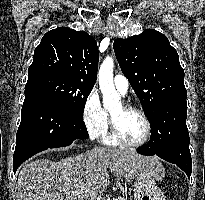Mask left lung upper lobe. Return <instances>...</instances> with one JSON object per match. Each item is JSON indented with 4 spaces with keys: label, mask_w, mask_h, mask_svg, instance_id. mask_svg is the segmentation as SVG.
Instances as JSON below:
<instances>
[{
    "label": "left lung upper lobe",
    "mask_w": 205,
    "mask_h": 200,
    "mask_svg": "<svg viewBox=\"0 0 205 200\" xmlns=\"http://www.w3.org/2000/svg\"><path fill=\"white\" fill-rule=\"evenodd\" d=\"M114 52L150 123L166 102L186 98L184 70L168 38L153 29L116 39Z\"/></svg>",
    "instance_id": "obj_1"
}]
</instances>
